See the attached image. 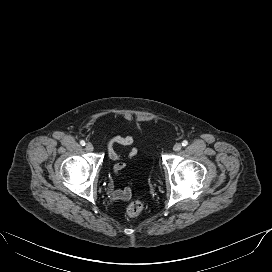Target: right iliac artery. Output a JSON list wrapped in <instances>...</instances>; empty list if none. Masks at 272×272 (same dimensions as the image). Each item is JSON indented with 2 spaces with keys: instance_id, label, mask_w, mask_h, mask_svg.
Wrapping results in <instances>:
<instances>
[{
  "instance_id": "obj_1",
  "label": "right iliac artery",
  "mask_w": 272,
  "mask_h": 272,
  "mask_svg": "<svg viewBox=\"0 0 272 272\" xmlns=\"http://www.w3.org/2000/svg\"><path fill=\"white\" fill-rule=\"evenodd\" d=\"M80 144H81L82 146H85L86 143H85L84 140H81V141H80Z\"/></svg>"
}]
</instances>
